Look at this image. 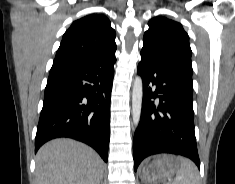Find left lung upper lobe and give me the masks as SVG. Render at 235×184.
Segmentation results:
<instances>
[{
    "instance_id": "obj_1",
    "label": "left lung upper lobe",
    "mask_w": 235,
    "mask_h": 184,
    "mask_svg": "<svg viewBox=\"0 0 235 184\" xmlns=\"http://www.w3.org/2000/svg\"><path fill=\"white\" fill-rule=\"evenodd\" d=\"M148 25L149 29L143 37V47L176 66L192 83V51L189 36L182 25L163 16L151 19Z\"/></svg>"
}]
</instances>
